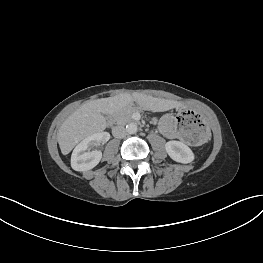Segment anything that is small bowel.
<instances>
[{"mask_svg": "<svg viewBox=\"0 0 263 263\" xmlns=\"http://www.w3.org/2000/svg\"><path fill=\"white\" fill-rule=\"evenodd\" d=\"M158 125L160 131L166 138L173 139L179 136L174 127L173 117L170 114L162 116L158 121Z\"/></svg>", "mask_w": 263, "mask_h": 263, "instance_id": "c3829d8e", "label": "small bowel"}]
</instances>
